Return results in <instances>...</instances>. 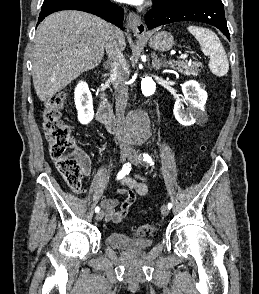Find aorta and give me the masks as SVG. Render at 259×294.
Returning a JSON list of instances; mask_svg holds the SVG:
<instances>
[{"label": "aorta", "instance_id": "1", "mask_svg": "<svg viewBox=\"0 0 259 294\" xmlns=\"http://www.w3.org/2000/svg\"><path fill=\"white\" fill-rule=\"evenodd\" d=\"M141 90L145 96H151L156 90V84L150 77H145L141 81ZM125 126L128 134L136 141L147 140L150 136V119L144 112H131L126 118Z\"/></svg>", "mask_w": 259, "mask_h": 294}]
</instances>
